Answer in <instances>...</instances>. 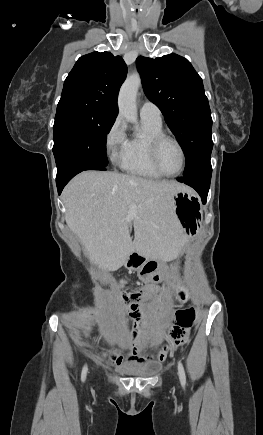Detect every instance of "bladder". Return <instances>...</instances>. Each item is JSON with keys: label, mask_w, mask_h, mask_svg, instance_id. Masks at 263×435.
<instances>
[{"label": "bladder", "mask_w": 263, "mask_h": 435, "mask_svg": "<svg viewBox=\"0 0 263 435\" xmlns=\"http://www.w3.org/2000/svg\"><path fill=\"white\" fill-rule=\"evenodd\" d=\"M159 365H147L142 367H131L123 369V372L127 375L133 376H150L155 374L159 370Z\"/></svg>", "instance_id": "31cf9c89"}]
</instances>
